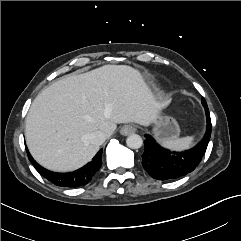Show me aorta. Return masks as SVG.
<instances>
[{
    "mask_svg": "<svg viewBox=\"0 0 241 241\" xmlns=\"http://www.w3.org/2000/svg\"><path fill=\"white\" fill-rule=\"evenodd\" d=\"M126 144L131 149H139L143 145V140L138 134H131L126 139Z\"/></svg>",
    "mask_w": 241,
    "mask_h": 241,
    "instance_id": "aorta-1",
    "label": "aorta"
}]
</instances>
